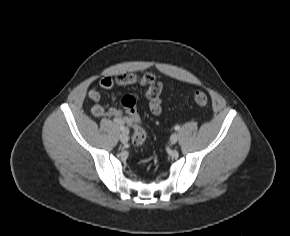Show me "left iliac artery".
I'll return each mask as SVG.
<instances>
[{
  "instance_id": "44dca946",
  "label": "left iliac artery",
  "mask_w": 290,
  "mask_h": 236,
  "mask_svg": "<svg viewBox=\"0 0 290 236\" xmlns=\"http://www.w3.org/2000/svg\"><path fill=\"white\" fill-rule=\"evenodd\" d=\"M175 130H176V131L180 130V126H179V125H176V126H175Z\"/></svg>"
}]
</instances>
